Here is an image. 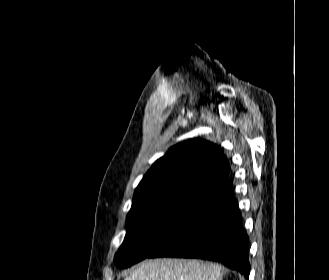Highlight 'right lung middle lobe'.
Instances as JSON below:
<instances>
[{
	"mask_svg": "<svg viewBox=\"0 0 329 280\" xmlns=\"http://www.w3.org/2000/svg\"><path fill=\"white\" fill-rule=\"evenodd\" d=\"M205 202L191 196H175L150 202L128 213L126 236L115 254V264L126 268L150 257Z\"/></svg>",
	"mask_w": 329,
	"mask_h": 280,
	"instance_id": "1",
	"label": "right lung middle lobe"
}]
</instances>
